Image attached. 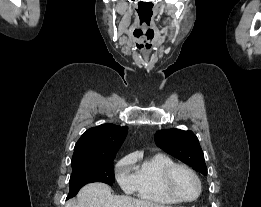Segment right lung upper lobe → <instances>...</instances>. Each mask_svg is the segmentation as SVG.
Segmentation results:
<instances>
[{"mask_svg":"<svg viewBox=\"0 0 261 207\" xmlns=\"http://www.w3.org/2000/svg\"><path fill=\"white\" fill-rule=\"evenodd\" d=\"M128 128L114 124H102L88 129L74 148L72 165L82 162L104 161L116 156Z\"/></svg>","mask_w":261,"mask_h":207,"instance_id":"obj_1","label":"right lung upper lobe"}]
</instances>
